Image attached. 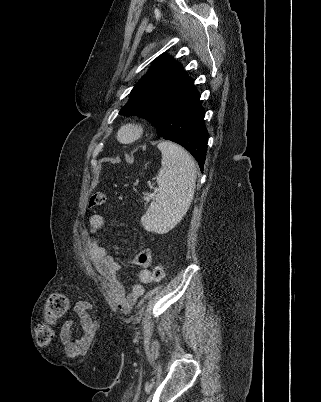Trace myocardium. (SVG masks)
Listing matches in <instances>:
<instances>
[{
    "label": "myocardium",
    "mask_w": 321,
    "mask_h": 402,
    "mask_svg": "<svg viewBox=\"0 0 321 402\" xmlns=\"http://www.w3.org/2000/svg\"><path fill=\"white\" fill-rule=\"evenodd\" d=\"M145 132V125L141 121H129L121 125L118 130V140L123 144L137 142Z\"/></svg>",
    "instance_id": "obj_1"
}]
</instances>
